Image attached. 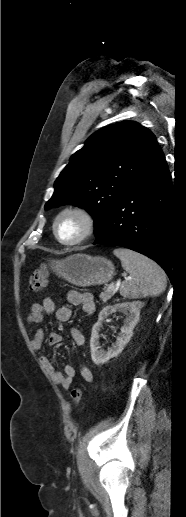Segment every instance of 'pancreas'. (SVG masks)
<instances>
[{
    "label": "pancreas",
    "mask_w": 186,
    "mask_h": 517,
    "mask_svg": "<svg viewBox=\"0 0 186 517\" xmlns=\"http://www.w3.org/2000/svg\"><path fill=\"white\" fill-rule=\"evenodd\" d=\"M113 294H114L113 290H111V291L106 290V291L102 292L99 297L105 303L113 296Z\"/></svg>",
    "instance_id": "pancreas-1"
}]
</instances>
